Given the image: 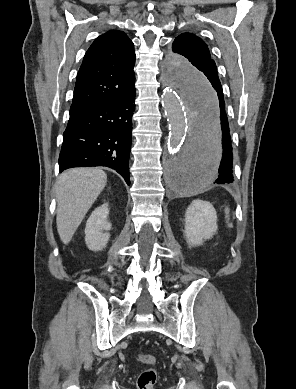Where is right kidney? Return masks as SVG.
Segmentation results:
<instances>
[{
    "label": "right kidney",
    "mask_w": 296,
    "mask_h": 389,
    "mask_svg": "<svg viewBox=\"0 0 296 389\" xmlns=\"http://www.w3.org/2000/svg\"><path fill=\"white\" fill-rule=\"evenodd\" d=\"M109 206L107 203L97 207L87 220L85 228V243L92 251H100L106 247L111 230L108 222Z\"/></svg>",
    "instance_id": "ca27d5eb"
}]
</instances>
